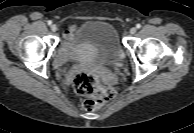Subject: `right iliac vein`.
Wrapping results in <instances>:
<instances>
[{
	"instance_id": "1",
	"label": "right iliac vein",
	"mask_w": 194,
	"mask_h": 133,
	"mask_svg": "<svg viewBox=\"0 0 194 133\" xmlns=\"http://www.w3.org/2000/svg\"><path fill=\"white\" fill-rule=\"evenodd\" d=\"M57 26L55 25V24H53V25H51V30L53 31V32H56L57 31Z\"/></svg>"
}]
</instances>
